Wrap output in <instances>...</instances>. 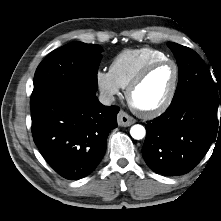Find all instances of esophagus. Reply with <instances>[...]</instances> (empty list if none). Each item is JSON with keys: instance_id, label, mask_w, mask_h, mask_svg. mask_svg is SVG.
<instances>
[{"instance_id": "34e87169", "label": "esophagus", "mask_w": 221, "mask_h": 221, "mask_svg": "<svg viewBox=\"0 0 221 221\" xmlns=\"http://www.w3.org/2000/svg\"><path fill=\"white\" fill-rule=\"evenodd\" d=\"M117 122H118L119 126L127 127V126L134 124L136 122V120L133 117H131L130 115H128L126 112L121 110L118 113Z\"/></svg>"}]
</instances>
